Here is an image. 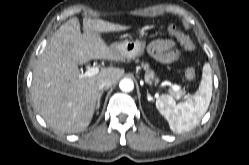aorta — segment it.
<instances>
[{
	"mask_svg": "<svg viewBox=\"0 0 249 165\" xmlns=\"http://www.w3.org/2000/svg\"><path fill=\"white\" fill-rule=\"evenodd\" d=\"M119 88L124 92H130L134 89V83L129 78H124L119 83Z\"/></svg>",
	"mask_w": 249,
	"mask_h": 165,
	"instance_id": "obj_1",
	"label": "aorta"
}]
</instances>
